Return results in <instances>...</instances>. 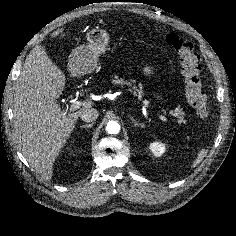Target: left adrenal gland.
I'll return each mask as SVG.
<instances>
[{"instance_id": "a2214340", "label": "left adrenal gland", "mask_w": 236, "mask_h": 236, "mask_svg": "<svg viewBox=\"0 0 236 236\" xmlns=\"http://www.w3.org/2000/svg\"><path fill=\"white\" fill-rule=\"evenodd\" d=\"M129 117L132 120L134 126H138V127H141V128L145 127V125L143 123H139V121H136L133 116H129Z\"/></svg>"}]
</instances>
